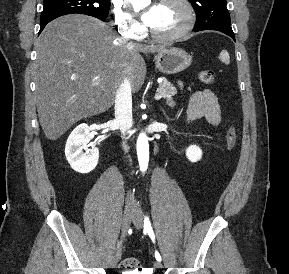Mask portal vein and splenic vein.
<instances>
[{"mask_svg":"<svg viewBox=\"0 0 289 274\" xmlns=\"http://www.w3.org/2000/svg\"><path fill=\"white\" fill-rule=\"evenodd\" d=\"M161 98H162V95H161V94H158V93H157V94L155 95V99H156V100H159V99H161Z\"/></svg>","mask_w":289,"mask_h":274,"instance_id":"portal-vein-and-splenic-vein-1","label":"portal vein and splenic vein"}]
</instances>
